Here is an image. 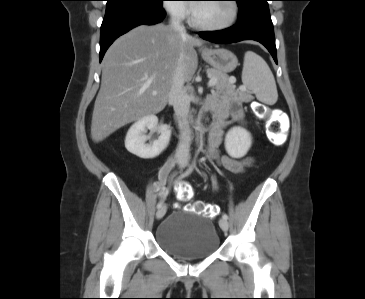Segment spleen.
<instances>
[{"label": "spleen", "mask_w": 365, "mask_h": 299, "mask_svg": "<svg viewBox=\"0 0 365 299\" xmlns=\"http://www.w3.org/2000/svg\"><path fill=\"white\" fill-rule=\"evenodd\" d=\"M242 82L259 101L268 105L276 103L278 92L274 76L266 61L253 51L245 53Z\"/></svg>", "instance_id": "1"}]
</instances>
